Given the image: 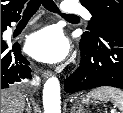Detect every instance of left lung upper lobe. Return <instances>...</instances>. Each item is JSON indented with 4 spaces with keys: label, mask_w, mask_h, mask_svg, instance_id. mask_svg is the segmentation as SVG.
<instances>
[{
    "label": "left lung upper lobe",
    "mask_w": 123,
    "mask_h": 113,
    "mask_svg": "<svg viewBox=\"0 0 123 113\" xmlns=\"http://www.w3.org/2000/svg\"><path fill=\"white\" fill-rule=\"evenodd\" d=\"M80 2L92 15L88 24L89 31L84 32L81 39L97 38L100 24L105 18L113 17L123 24V0H80Z\"/></svg>",
    "instance_id": "5c2ea615"
}]
</instances>
